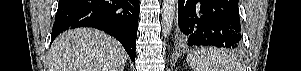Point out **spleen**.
Masks as SVG:
<instances>
[{
    "label": "spleen",
    "mask_w": 301,
    "mask_h": 71,
    "mask_svg": "<svg viewBox=\"0 0 301 71\" xmlns=\"http://www.w3.org/2000/svg\"><path fill=\"white\" fill-rule=\"evenodd\" d=\"M187 63L194 71H243L234 54L217 48L195 50L188 54Z\"/></svg>",
    "instance_id": "obj_1"
}]
</instances>
